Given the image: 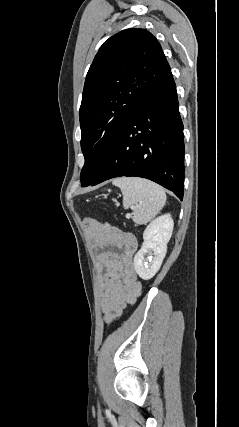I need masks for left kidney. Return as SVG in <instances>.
Returning <instances> with one entry per match:
<instances>
[{
  "mask_svg": "<svg viewBox=\"0 0 239 427\" xmlns=\"http://www.w3.org/2000/svg\"><path fill=\"white\" fill-rule=\"evenodd\" d=\"M174 227L170 214L159 216L144 230L143 245L134 257V267L140 278L151 279L160 269ZM153 256L145 257L147 254Z\"/></svg>",
  "mask_w": 239,
  "mask_h": 427,
  "instance_id": "obj_1",
  "label": "left kidney"
}]
</instances>
